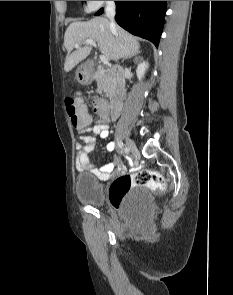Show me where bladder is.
Instances as JSON below:
<instances>
[{"label": "bladder", "instance_id": "31cf9c89", "mask_svg": "<svg viewBox=\"0 0 233 295\" xmlns=\"http://www.w3.org/2000/svg\"><path fill=\"white\" fill-rule=\"evenodd\" d=\"M75 191L79 201L93 206H102L105 202V188L94 176L81 174L76 178ZM155 208L153 196L147 187H139L127 209L131 216L144 221L153 213Z\"/></svg>", "mask_w": 233, "mask_h": 295}]
</instances>
